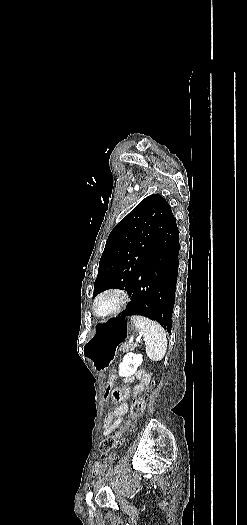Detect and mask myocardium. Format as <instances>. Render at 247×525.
Returning a JSON list of instances; mask_svg holds the SVG:
<instances>
[{
  "label": "myocardium",
  "mask_w": 247,
  "mask_h": 525,
  "mask_svg": "<svg viewBox=\"0 0 247 525\" xmlns=\"http://www.w3.org/2000/svg\"><path fill=\"white\" fill-rule=\"evenodd\" d=\"M107 295L115 296L116 298L115 303L111 307H108L104 310H99L97 307L98 301ZM127 300H128V293L124 288L119 287V286L104 287L94 297V300L92 303L93 312L97 317H101V318L111 316L113 314L118 313L123 308V306L126 304Z\"/></svg>",
  "instance_id": "1"
}]
</instances>
